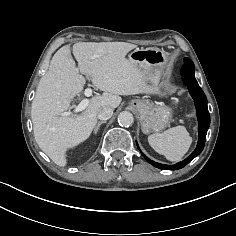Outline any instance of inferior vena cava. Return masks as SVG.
I'll return each instance as SVG.
<instances>
[{
    "instance_id": "1",
    "label": "inferior vena cava",
    "mask_w": 236,
    "mask_h": 236,
    "mask_svg": "<svg viewBox=\"0 0 236 236\" xmlns=\"http://www.w3.org/2000/svg\"><path fill=\"white\" fill-rule=\"evenodd\" d=\"M113 115V109L110 107H103L101 110H99L97 116L100 120H108Z\"/></svg>"
}]
</instances>
